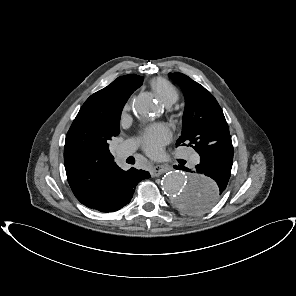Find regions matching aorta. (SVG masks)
Listing matches in <instances>:
<instances>
[{"label":"aorta","instance_id":"762f6f07","mask_svg":"<svg viewBox=\"0 0 296 296\" xmlns=\"http://www.w3.org/2000/svg\"><path fill=\"white\" fill-rule=\"evenodd\" d=\"M155 105L150 97H140L134 102V111L147 117ZM162 189L181 211L200 214L209 211L217 201L216 182L204 175L191 172L170 171L162 180Z\"/></svg>","mask_w":296,"mask_h":296}]
</instances>
